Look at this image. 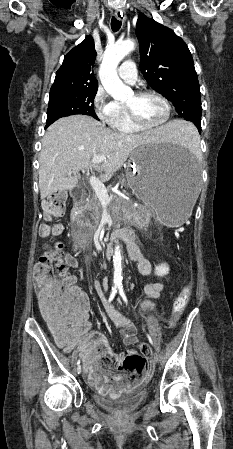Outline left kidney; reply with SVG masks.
Segmentation results:
<instances>
[{"instance_id":"left-kidney-1","label":"left kidney","mask_w":233,"mask_h":449,"mask_svg":"<svg viewBox=\"0 0 233 449\" xmlns=\"http://www.w3.org/2000/svg\"><path fill=\"white\" fill-rule=\"evenodd\" d=\"M155 275L165 276L169 273V266L166 263H162L155 267Z\"/></svg>"}]
</instances>
